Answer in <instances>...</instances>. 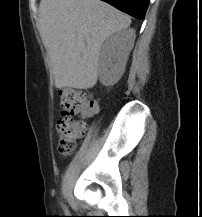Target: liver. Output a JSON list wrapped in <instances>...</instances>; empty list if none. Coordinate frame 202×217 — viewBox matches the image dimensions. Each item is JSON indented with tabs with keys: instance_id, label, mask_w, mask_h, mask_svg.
Returning <instances> with one entry per match:
<instances>
[{
	"instance_id": "1",
	"label": "liver",
	"mask_w": 202,
	"mask_h": 217,
	"mask_svg": "<svg viewBox=\"0 0 202 217\" xmlns=\"http://www.w3.org/2000/svg\"><path fill=\"white\" fill-rule=\"evenodd\" d=\"M130 24L128 15L101 0H41L37 28L55 87L92 88L97 83L101 45Z\"/></svg>"
}]
</instances>
